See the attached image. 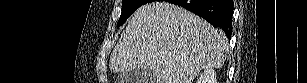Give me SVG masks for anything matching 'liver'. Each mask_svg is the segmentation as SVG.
Returning a JSON list of instances; mask_svg holds the SVG:
<instances>
[{
  "label": "liver",
  "mask_w": 307,
  "mask_h": 83,
  "mask_svg": "<svg viewBox=\"0 0 307 83\" xmlns=\"http://www.w3.org/2000/svg\"><path fill=\"white\" fill-rule=\"evenodd\" d=\"M228 39L204 19L167 2L139 8L110 56L112 72L150 69L153 83H192L205 68H221Z\"/></svg>",
  "instance_id": "liver-1"
}]
</instances>
